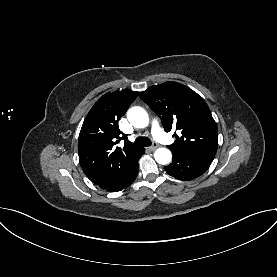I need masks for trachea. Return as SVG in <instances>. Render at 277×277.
Listing matches in <instances>:
<instances>
[{"instance_id":"1","label":"trachea","mask_w":277,"mask_h":277,"mask_svg":"<svg viewBox=\"0 0 277 277\" xmlns=\"http://www.w3.org/2000/svg\"><path fill=\"white\" fill-rule=\"evenodd\" d=\"M135 145L136 146H150L151 145V140L147 137H138L135 140Z\"/></svg>"}]
</instances>
